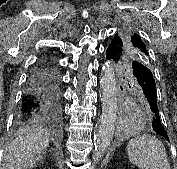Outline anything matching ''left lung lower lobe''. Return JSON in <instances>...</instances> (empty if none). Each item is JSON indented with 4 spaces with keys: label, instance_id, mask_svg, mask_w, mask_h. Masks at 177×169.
I'll return each instance as SVG.
<instances>
[{
    "label": "left lung lower lobe",
    "instance_id": "left-lung-lower-lobe-1",
    "mask_svg": "<svg viewBox=\"0 0 177 169\" xmlns=\"http://www.w3.org/2000/svg\"><path fill=\"white\" fill-rule=\"evenodd\" d=\"M119 54L120 52L118 46L115 43H110L106 52L107 59L112 64H117L119 69H124L126 67L130 70L134 77L136 87L145 95L146 103L153 114L152 129L169 141L167 132L162 124L159 114L155 79L153 78L151 70L145 64L137 60H131L126 63L118 64Z\"/></svg>",
    "mask_w": 177,
    "mask_h": 169
}]
</instances>
